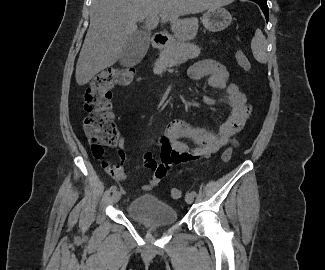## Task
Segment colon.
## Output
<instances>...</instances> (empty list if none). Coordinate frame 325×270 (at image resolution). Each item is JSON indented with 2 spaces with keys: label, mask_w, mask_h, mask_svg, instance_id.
<instances>
[{
  "label": "colon",
  "mask_w": 325,
  "mask_h": 270,
  "mask_svg": "<svg viewBox=\"0 0 325 270\" xmlns=\"http://www.w3.org/2000/svg\"><path fill=\"white\" fill-rule=\"evenodd\" d=\"M239 66L246 72L251 70V63L247 56L237 51L235 54ZM134 77L133 69L109 68L96 75L89 83L84 96V109L88 116L84 120V130L89 140L92 154L101 159L104 146L111 145L117 138V129L111 112V89L116 85L127 86ZM236 142L233 143V146ZM233 146L222 154V160L227 162L233 154ZM107 166L106 163H104ZM170 196L179 199L181 190L172 188Z\"/></svg>",
  "instance_id": "colon-1"
}]
</instances>
